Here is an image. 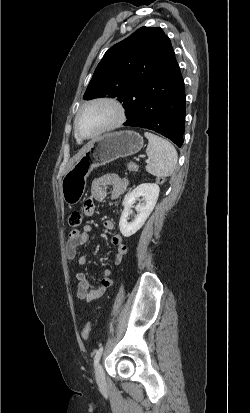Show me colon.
<instances>
[{"label": "colon", "mask_w": 250, "mask_h": 413, "mask_svg": "<svg viewBox=\"0 0 250 413\" xmlns=\"http://www.w3.org/2000/svg\"><path fill=\"white\" fill-rule=\"evenodd\" d=\"M127 168L131 172H137L139 170V166L135 162H128ZM166 180H167V177L165 174H158L155 180V185L157 187H163L165 185ZM82 221H83V212L76 210L70 214L68 218V225L73 229H77L82 224ZM90 333H91V323L88 322L82 329L81 336L84 340H88Z\"/></svg>", "instance_id": "colon-1"}]
</instances>
